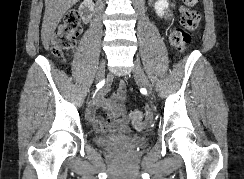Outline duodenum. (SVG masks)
Instances as JSON below:
<instances>
[{
	"mask_svg": "<svg viewBox=\"0 0 244 179\" xmlns=\"http://www.w3.org/2000/svg\"><path fill=\"white\" fill-rule=\"evenodd\" d=\"M94 4L95 3L91 0H85L82 3L80 12H81V15L84 19L91 20V17H92L93 12H94V8H93Z\"/></svg>",
	"mask_w": 244,
	"mask_h": 179,
	"instance_id": "410a0bca",
	"label": "duodenum"
}]
</instances>
